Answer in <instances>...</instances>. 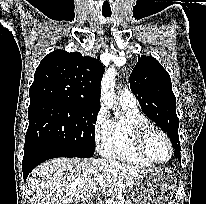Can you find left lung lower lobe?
<instances>
[{"label":"left lung lower lobe","mask_w":206,"mask_h":204,"mask_svg":"<svg viewBox=\"0 0 206 204\" xmlns=\"http://www.w3.org/2000/svg\"><path fill=\"white\" fill-rule=\"evenodd\" d=\"M180 160V156H176Z\"/></svg>","instance_id":"obj_1"}]
</instances>
